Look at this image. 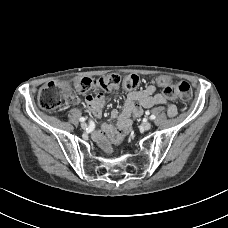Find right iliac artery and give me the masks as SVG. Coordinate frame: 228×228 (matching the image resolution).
Wrapping results in <instances>:
<instances>
[{"mask_svg":"<svg viewBox=\"0 0 228 228\" xmlns=\"http://www.w3.org/2000/svg\"><path fill=\"white\" fill-rule=\"evenodd\" d=\"M79 121H80V122H84V121H85V118H84V117H81V118L79 119Z\"/></svg>","mask_w":228,"mask_h":228,"instance_id":"right-iliac-artery-1","label":"right iliac artery"}]
</instances>
